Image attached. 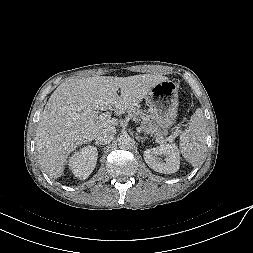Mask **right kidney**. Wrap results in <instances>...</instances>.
<instances>
[{
  "label": "right kidney",
  "mask_w": 253,
  "mask_h": 253,
  "mask_svg": "<svg viewBox=\"0 0 253 253\" xmlns=\"http://www.w3.org/2000/svg\"><path fill=\"white\" fill-rule=\"evenodd\" d=\"M97 158V148L86 146L69 158L68 165L76 177L86 179L95 169Z\"/></svg>",
  "instance_id": "1"
}]
</instances>
